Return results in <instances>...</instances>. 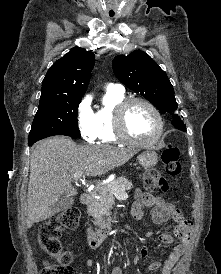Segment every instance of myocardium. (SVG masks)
Wrapping results in <instances>:
<instances>
[{"label":"myocardium","instance_id":"obj_1","mask_svg":"<svg viewBox=\"0 0 221 274\" xmlns=\"http://www.w3.org/2000/svg\"><path fill=\"white\" fill-rule=\"evenodd\" d=\"M135 103H141L147 106L156 119L157 131L154 137L148 141L136 140L132 138L126 130V114L129 108ZM114 127L115 133L120 141L136 147H151L160 140L164 130V122L160 111L151 101L143 97H131L126 98L116 107L114 114Z\"/></svg>","mask_w":221,"mask_h":274}]
</instances>
